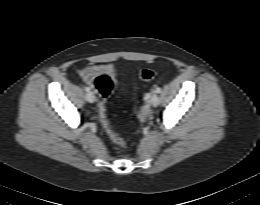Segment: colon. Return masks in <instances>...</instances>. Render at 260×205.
Returning <instances> with one entry per match:
<instances>
[{"label":"colon","instance_id":"5ec220e1","mask_svg":"<svg viewBox=\"0 0 260 205\" xmlns=\"http://www.w3.org/2000/svg\"><path fill=\"white\" fill-rule=\"evenodd\" d=\"M156 76L157 72L150 68L142 69L139 72V78L142 81L153 80ZM94 87L101 97L99 110L104 131L115 144L120 147H126L124 140L114 130L107 117V101L115 87L114 79L107 74H99L94 80Z\"/></svg>","mask_w":260,"mask_h":205}]
</instances>
